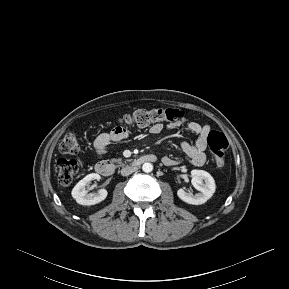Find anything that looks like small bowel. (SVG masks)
Segmentation results:
<instances>
[{
    "mask_svg": "<svg viewBox=\"0 0 289 289\" xmlns=\"http://www.w3.org/2000/svg\"><path fill=\"white\" fill-rule=\"evenodd\" d=\"M178 123L168 124L164 126L162 123L153 124L149 128L151 134H159L162 131H170L179 126ZM188 131L191 134L197 136V139L194 143H191L187 140L181 142V149L183 153L191 160L192 164L195 166H203L206 161V150L208 147L207 137L211 131L209 125H201L198 122L191 121L187 126ZM129 133L126 128L122 126L115 127L111 132L100 134L94 141V149L99 157H103L106 153L107 147L115 142H120L125 140L128 137ZM163 163L166 166H173L176 164V160L171 157H164Z\"/></svg>",
    "mask_w": 289,
    "mask_h": 289,
    "instance_id": "1",
    "label": "small bowel"
}]
</instances>
